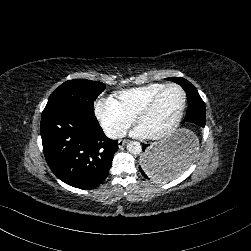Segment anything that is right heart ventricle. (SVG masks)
I'll return each mask as SVG.
<instances>
[{"label": "right heart ventricle", "instance_id": "e07e8e85", "mask_svg": "<svg viewBox=\"0 0 251 251\" xmlns=\"http://www.w3.org/2000/svg\"><path fill=\"white\" fill-rule=\"evenodd\" d=\"M166 84L152 82L142 86L125 89L119 93L121 104L132 114L137 111Z\"/></svg>", "mask_w": 251, "mask_h": 251}]
</instances>
